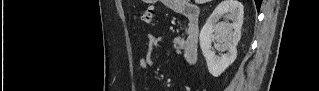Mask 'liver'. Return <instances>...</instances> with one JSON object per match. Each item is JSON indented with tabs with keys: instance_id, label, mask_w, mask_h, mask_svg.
<instances>
[{
	"instance_id": "1",
	"label": "liver",
	"mask_w": 319,
	"mask_h": 91,
	"mask_svg": "<svg viewBox=\"0 0 319 91\" xmlns=\"http://www.w3.org/2000/svg\"><path fill=\"white\" fill-rule=\"evenodd\" d=\"M210 0H195V2L197 3V4H204V3H206V2H209Z\"/></svg>"
}]
</instances>
